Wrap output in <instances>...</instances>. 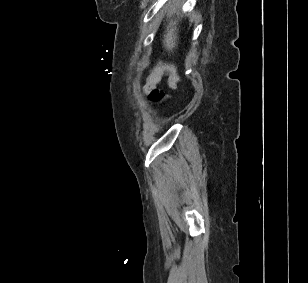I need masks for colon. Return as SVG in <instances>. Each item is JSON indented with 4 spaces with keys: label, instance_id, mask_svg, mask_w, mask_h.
I'll return each mask as SVG.
<instances>
[{
    "label": "colon",
    "instance_id": "5ec220e1",
    "mask_svg": "<svg viewBox=\"0 0 308 283\" xmlns=\"http://www.w3.org/2000/svg\"><path fill=\"white\" fill-rule=\"evenodd\" d=\"M149 99L153 103H159L165 99V95L161 91L154 89L149 93Z\"/></svg>",
    "mask_w": 308,
    "mask_h": 283
}]
</instances>
